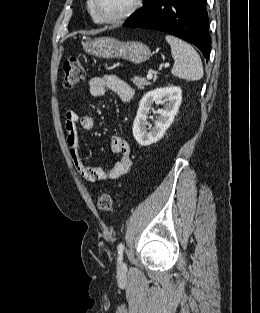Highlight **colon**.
Returning a JSON list of instances; mask_svg holds the SVG:
<instances>
[{
    "label": "colon",
    "mask_w": 260,
    "mask_h": 313,
    "mask_svg": "<svg viewBox=\"0 0 260 313\" xmlns=\"http://www.w3.org/2000/svg\"><path fill=\"white\" fill-rule=\"evenodd\" d=\"M63 86L73 88L85 79V69L77 57L68 58L63 67ZM113 198L109 193H101L97 197V207L99 210L109 212L112 209Z\"/></svg>",
    "instance_id": "colon-1"
}]
</instances>
